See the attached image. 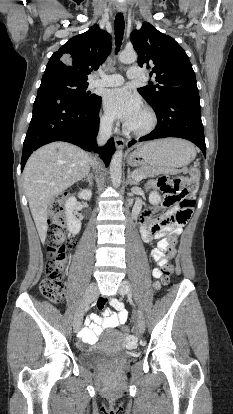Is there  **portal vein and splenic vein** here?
<instances>
[{"label":"portal vein and splenic vein","mask_w":233,"mask_h":414,"mask_svg":"<svg viewBox=\"0 0 233 414\" xmlns=\"http://www.w3.org/2000/svg\"><path fill=\"white\" fill-rule=\"evenodd\" d=\"M141 179H142V177H141V176H137V177H135V180H136L137 182H139Z\"/></svg>","instance_id":"18ae733b"}]
</instances>
